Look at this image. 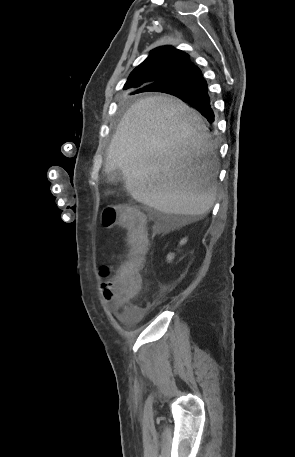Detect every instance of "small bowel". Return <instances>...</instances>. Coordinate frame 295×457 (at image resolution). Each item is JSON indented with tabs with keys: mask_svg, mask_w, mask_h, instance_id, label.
Segmentation results:
<instances>
[{
	"mask_svg": "<svg viewBox=\"0 0 295 457\" xmlns=\"http://www.w3.org/2000/svg\"><path fill=\"white\" fill-rule=\"evenodd\" d=\"M117 305V304H116ZM120 308H123V319L126 322H131L140 319L144 314V309L138 307L127 306V303L124 305H117Z\"/></svg>",
	"mask_w": 295,
	"mask_h": 457,
	"instance_id": "c3829d8e",
	"label": "small bowel"
}]
</instances>
